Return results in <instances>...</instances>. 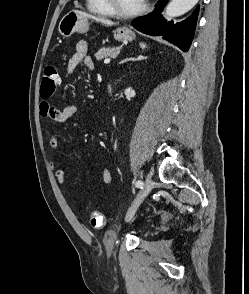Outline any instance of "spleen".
Wrapping results in <instances>:
<instances>
[{"label": "spleen", "instance_id": "1", "mask_svg": "<svg viewBox=\"0 0 249 294\" xmlns=\"http://www.w3.org/2000/svg\"><path fill=\"white\" fill-rule=\"evenodd\" d=\"M140 46H141L142 48H145V47H146V45H145L144 43H141Z\"/></svg>", "mask_w": 249, "mask_h": 294}]
</instances>
